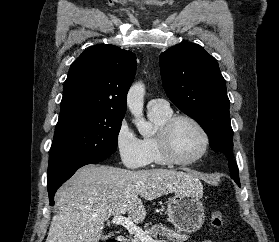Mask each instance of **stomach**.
<instances>
[{
    "mask_svg": "<svg viewBox=\"0 0 279 242\" xmlns=\"http://www.w3.org/2000/svg\"><path fill=\"white\" fill-rule=\"evenodd\" d=\"M201 194L177 192L168 200L167 215L175 228L193 233L202 227L205 220V210L200 201Z\"/></svg>",
    "mask_w": 279,
    "mask_h": 242,
    "instance_id": "obj_1",
    "label": "stomach"
}]
</instances>
